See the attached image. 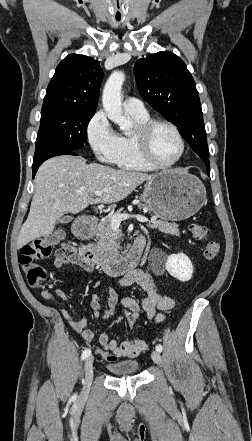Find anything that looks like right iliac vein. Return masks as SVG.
Listing matches in <instances>:
<instances>
[{"mask_svg":"<svg viewBox=\"0 0 252 441\" xmlns=\"http://www.w3.org/2000/svg\"><path fill=\"white\" fill-rule=\"evenodd\" d=\"M93 362L94 358L92 356L88 357L84 363V372H85V385L81 394V398H84L88 395L90 386L93 379Z\"/></svg>","mask_w":252,"mask_h":441,"instance_id":"right-iliac-vein-1","label":"right iliac vein"}]
</instances>
